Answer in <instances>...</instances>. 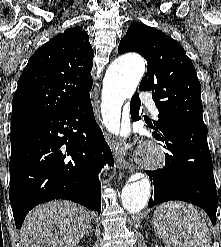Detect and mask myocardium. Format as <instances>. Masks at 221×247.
I'll return each mask as SVG.
<instances>
[{
	"label": "myocardium",
	"instance_id": "myocardium-1",
	"mask_svg": "<svg viewBox=\"0 0 221 247\" xmlns=\"http://www.w3.org/2000/svg\"><path fill=\"white\" fill-rule=\"evenodd\" d=\"M166 159L167 157L164 150L156 144L147 145L139 156L140 163L149 169L162 167Z\"/></svg>",
	"mask_w": 221,
	"mask_h": 247
}]
</instances>
